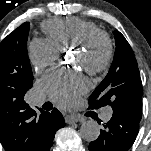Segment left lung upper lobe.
<instances>
[{"mask_svg":"<svg viewBox=\"0 0 151 151\" xmlns=\"http://www.w3.org/2000/svg\"><path fill=\"white\" fill-rule=\"evenodd\" d=\"M115 54L105 79L89 98L91 109L109 105L113 116L140 122L142 116V82L134 53L118 31H114Z\"/></svg>","mask_w":151,"mask_h":151,"instance_id":"obj_1","label":"left lung upper lobe"}]
</instances>
